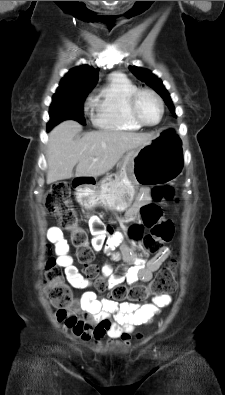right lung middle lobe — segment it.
<instances>
[{
    "label": "right lung middle lobe",
    "mask_w": 225,
    "mask_h": 395,
    "mask_svg": "<svg viewBox=\"0 0 225 395\" xmlns=\"http://www.w3.org/2000/svg\"><path fill=\"white\" fill-rule=\"evenodd\" d=\"M90 90H57L52 98L49 110L48 130L64 120H75L86 124L83 114V103Z\"/></svg>",
    "instance_id": "right-lung-middle-lobe-1"
}]
</instances>
